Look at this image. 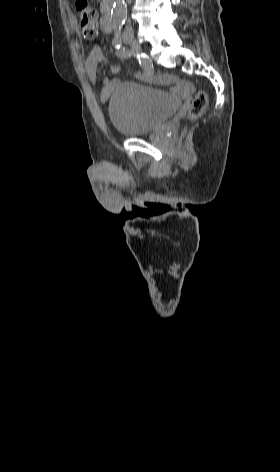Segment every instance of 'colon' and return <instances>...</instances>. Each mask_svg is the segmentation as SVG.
<instances>
[{"label": "colon", "instance_id": "obj_1", "mask_svg": "<svg viewBox=\"0 0 280 472\" xmlns=\"http://www.w3.org/2000/svg\"><path fill=\"white\" fill-rule=\"evenodd\" d=\"M76 12L79 17L80 26L84 36L94 39L97 35V12L87 0H76ZM208 104V97L205 91L199 90L195 93L189 107L188 117L194 120L201 116Z\"/></svg>", "mask_w": 280, "mask_h": 472}]
</instances>
